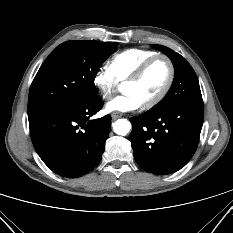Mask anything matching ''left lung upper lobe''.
I'll list each match as a JSON object with an SVG mask.
<instances>
[{
  "label": "left lung upper lobe",
  "instance_id": "obj_1",
  "mask_svg": "<svg viewBox=\"0 0 233 233\" xmlns=\"http://www.w3.org/2000/svg\"><path fill=\"white\" fill-rule=\"evenodd\" d=\"M152 46L165 53L171 59L175 69V77L167 95L149 111H161L183 104L203 105L197 76L186 59L168 47L162 45Z\"/></svg>",
  "mask_w": 233,
  "mask_h": 233
}]
</instances>
